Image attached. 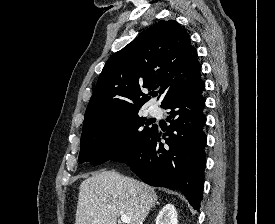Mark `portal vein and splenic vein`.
I'll list each match as a JSON object with an SVG mask.
<instances>
[{
	"label": "portal vein and splenic vein",
	"mask_w": 275,
	"mask_h": 224,
	"mask_svg": "<svg viewBox=\"0 0 275 224\" xmlns=\"http://www.w3.org/2000/svg\"><path fill=\"white\" fill-rule=\"evenodd\" d=\"M121 221H122V223H126V224L130 223V219L126 215L121 216Z\"/></svg>",
	"instance_id": "1"
}]
</instances>
